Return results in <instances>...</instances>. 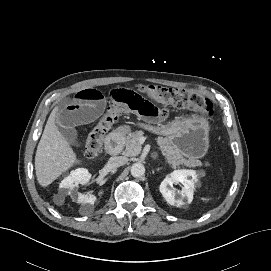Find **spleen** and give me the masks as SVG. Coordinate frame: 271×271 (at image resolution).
Listing matches in <instances>:
<instances>
[{"mask_svg": "<svg viewBox=\"0 0 271 271\" xmlns=\"http://www.w3.org/2000/svg\"><path fill=\"white\" fill-rule=\"evenodd\" d=\"M202 200H203L204 202H207V201H209V197H204V198H202Z\"/></svg>", "mask_w": 271, "mask_h": 271, "instance_id": "spleen-1", "label": "spleen"}]
</instances>
